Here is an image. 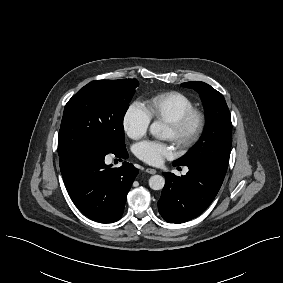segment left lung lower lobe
Here are the masks:
<instances>
[{
  "mask_svg": "<svg viewBox=\"0 0 283 283\" xmlns=\"http://www.w3.org/2000/svg\"><path fill=\"white\" fill-rule=\"evenodd\" d=\"M188 168V173L181 177L163 173L166 182L158 209L169 223H183L204 212L216 197L225 177L205 167L189 165Z\"/></svg>",
  "mask_w": 283,
  "mask_h": 283,
  "instance_id": "1",
  "label": "left lung lower lobe"
}]
</instances>
